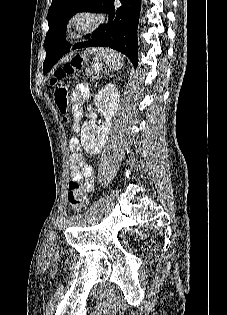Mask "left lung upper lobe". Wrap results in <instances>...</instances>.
<instances>
[{"mask_svg":"<svg viewBox=\"0 0 227 315\" xmlns=\"http://www.w3.org/2000/svg\"><path fill=\"white\" fill-rule=\"evenodd\" d=\"M108 1L109 0H52L47 16L49 31L46 34L44 43L46 44L52 39H62L65 41L66 24L74 14L85 10L102 12ZM66 43L70 45L68 42Z\"/></svg>","mask_w":227,"mask_h":315,"instance_id":"left-lung-upper-lobe-1","label":"left lung upper lobe"}]
</instances>
